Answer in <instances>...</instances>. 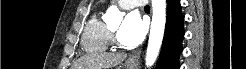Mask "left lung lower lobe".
Wrapping results in <instances>:
<instances>
[{"instance_id": "obj_1", "label": "left lung lower lobe", "mask_w": 246, "mask_h": 69, "mask_svg": "<svg viewBox=\"0 0 246 69\" xmlns=\"http://www.w3.org/2000/svg\"><path fill=\"white\" fill-rule=\"evenodd\" d=\"M184 16L179 0H167V20L157 69H179L184 37Z\"/></svg>"}]
</instances>
